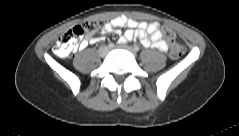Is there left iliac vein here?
<instances>
[{"mask_svg":"<svg viewBox=\"0 0 239 136\" xmlns=\"http://www.w3.org/2000/svg\"><path fill=\"white\" fill-rule=\"evenodd\" d=\"M117 48L125 49V50H128L129 52L135 54L133 49L127 45H118Z\"/></svg>","mask_w":239,"mask_h":136,"instance_id":"obj_1","label":"left iliac vein"}]
</instances>
